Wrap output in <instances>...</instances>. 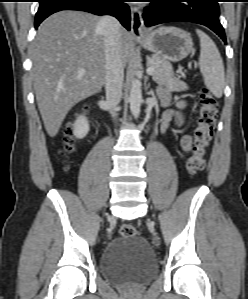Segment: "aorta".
<instances>
[{
  "label": "aorta",
  "mask_w": 248,
  "mask_h": 299,
  "mask_svg": "<svg viewBox=\"0 0 248 299\" xmlns=\"http://www.w3.org/2000/svg\"><path fill=\"white\" fill-rule=\"evenodd\" d=\"M130 111L132 115L137 118L140 114L141 102H142V90L141 82L139 79H133L130 89Z\"/></svg>",
  "instance_id": "aorta-1"
}]
</instances>
